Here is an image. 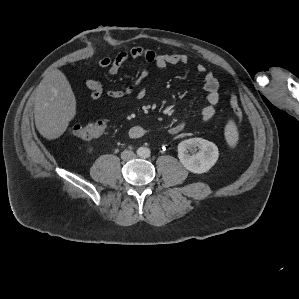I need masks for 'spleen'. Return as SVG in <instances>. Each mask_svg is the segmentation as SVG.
<instances>
[{
	"label": "spleen",
	"instance_id": "1",
	"mask_svg": "<svg viewBox=\"0 0 299 299\" xmlns=\"http://www.w3.org/2000/svg\"><path fill=\"white\" fill-rule=\"evenodd\" d=\"M225 138L231 147H234L238 140V132L235 123L230 120L225 127Z\"/></svg>",
	"mask_w": 299,
	"mask_h": 299
}]
</instances>
